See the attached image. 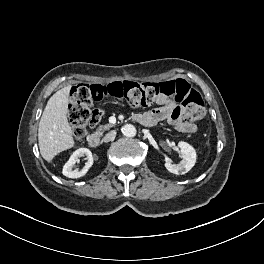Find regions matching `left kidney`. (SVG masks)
Wrapping results in <instances>:
<instances>
[{
  "label": "left kidney",
  "mask_w": 264,
  "mask_h": 264,
  "mask_svg": "<svg viewBox=\"0 0 264 264\" xmlns=\"http://www.w3.org/2000/svg\"><path fill=\"white\" fill-rule=\"evenodd\" d=\"M179 148L181 149L183 159L179 164H172L170 162L165 163V168L173 174H185L187 173L196 163V151L187 142H179Z\"/></svg>",
  "instance_id": "left-kidney-1"
}]
</instances>
